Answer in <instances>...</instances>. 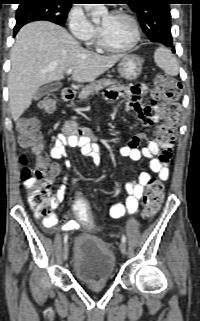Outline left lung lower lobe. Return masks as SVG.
Wrapping results in <instances>:
<instances>
[{
	"mask_svg": "<svg viewBox=\"0 0 200 321\" xmlns=\"http://www.w3.org/2000/svg\"><path fill=\"white\" fill-rule=\"evenodd\" d=\"M162 44H164V45H166V46H168V47L174 48V47H173V42H172V40L164 41V42H162ZM172 51L174 52L175 50L172 49Z\"/></svg>",
	"mask_w": 200,
	"mask_h": 321,
	"instance_id": "obj_1",
	"label": "left lung lower lobe"
}]
</instances>
